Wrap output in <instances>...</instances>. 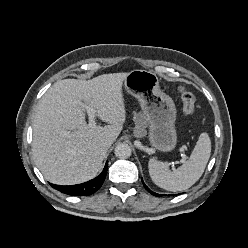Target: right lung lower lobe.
Listing matches in <instances>:
<instances>
[{
	"label": "right lung lower lobe",
	"mask_w": 248,
	"mask_h": 248,
	"mask_svg": "<svg viewBox=\"0 0 248 248\" xmlns=\"http://www.w3.org/2000/svg\"><path fill=\"white\" fill-rule=\"evenodd\" d=\"M108 169V163H106L102 173L96 178L78 185L62 186L50 184L54 189L60 192L72 196H88L96 192L103 184Z\"/></svg>",
	"instance_id": "obj_1"
}]
</instances>
